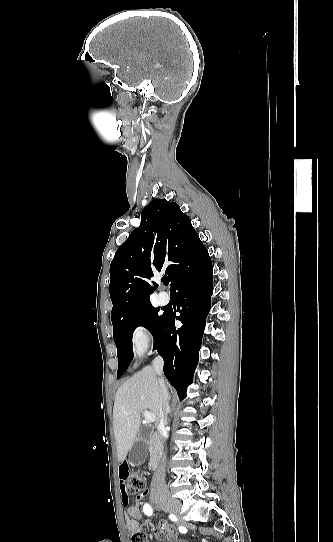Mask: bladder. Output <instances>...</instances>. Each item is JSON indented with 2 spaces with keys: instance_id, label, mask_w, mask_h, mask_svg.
Wrapping results in <instances>:
<instances>
[{
  "instance_id": "bladder-1",
  "label": "bladder",
  "mask_w": 333,
  "mask_h": 542,
  "mask_svg": "<svg viewBox=\"0 0 333 542\" xmlns=\"http://www.w3.org/2000/svg\"><path fill=\"white\" fill-rule=\"evenodd\" d=\"M174 542H191L190 540H175Z\"/></svg>"
}]
</instances>
